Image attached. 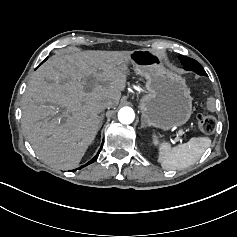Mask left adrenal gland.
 I'll return each instance as SVG.
<instances>
[{"mask_svg":"<svg viewBox=\"0 0 237 237\" xmlns=\"http://www.w3.org/2000/svg\"><path fill=\"white\" fill-rule=\"evenodd\" d=\"M146 125H145V121H144V119H141V128H143V127H145Z\"/></svg>","mask_w":237,"mask_h":237,"instance_id":"left-adrenal-gland-1","label":"left adrenal gland"}]
</instances>
